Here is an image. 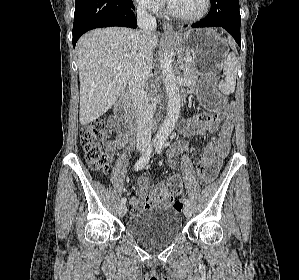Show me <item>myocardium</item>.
I'll use <instances>...</instances> for the list:
<instances>
[{
  "label": "myocardium",
  "instance_id": "myocardium-1",
  "mask_svg": "<svg viewBox=\"0 0 299 280\" xmlns=\"http://www.w3.org/2000/svg\"><path fill=\"white\" fill-rule=\"evenodd\" d=\"M210 7H211V0H205L204 8L201 13H199L196 16H186V15H183V14L179 13L178 11H176L170 4V1L169 0L167 1V10H168L169 14H171L173 17H175L177 19L187 21V22H196V21L203 19L209 13Z\"/></svg>",
  "mask_w": 299,
  "mask_h": 280
}]
</instances>
